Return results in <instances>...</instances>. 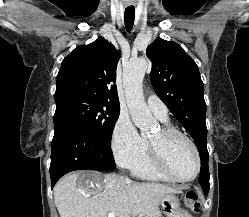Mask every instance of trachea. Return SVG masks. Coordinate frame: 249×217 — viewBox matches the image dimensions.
<instances>
[{
    "label": "trachea",
    "mask_w": 249,
    "mask_h": 217,
    "mask_svg": "<svg viewBox=\"0 0 249 217\" xmlns=\"http://www.w3.org/2000/svg\"><path fill=\"white\" fill-rule=\"evenodd\" d=\"M135 19V9L133 6L125 9L124 21L127 31H131Z\"/></svg>",
    "instance_id": "3493384b"
}]
</instances>
